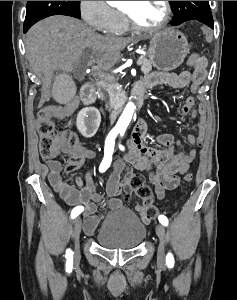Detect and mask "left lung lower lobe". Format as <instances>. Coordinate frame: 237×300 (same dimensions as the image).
I'll use <instances>...</instances> for the list:
<instances>
[{
    "instance_id": "0a47b994",
    "label": "left lung lower lobe",
    "mask_w": 237,
    "mask_h": 300,
    "mask_svg": "<svg viewBox=\"0 0 237 300\" xmlns=\"http://www.w3.org/2000/svg\"><path fill=\"white\" fill-rule=\"evenodd\" d=\"M208 26L211 27V28H214V23L213 22H209Z\"/></svg>"
}]
</instances>
